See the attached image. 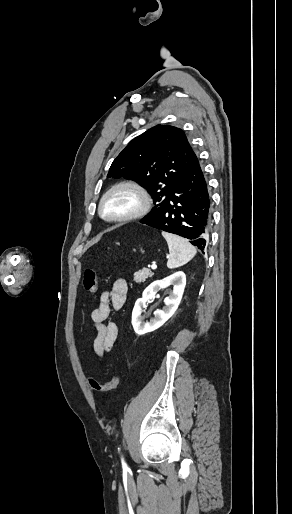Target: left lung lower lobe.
I'll use <instances>...</instances> for the list:
<instances>
[{
  "label": "left lung lower lobe",
  "mask_w": 292,
  "mask_h": 514,
  "mask_svg": "<svg viewBox=\"0 0 292 514\" xmlns=\"http://www.w3.org/2000/svg\"><path fill=\"white\" fill-rule=\"evenodd\" d=\"M142 224L189 239L200 250L208 242L211 199L199 159L193 151L190 166L173 192L160 202L156 216Z\"/></svg>",
  "instance_id": "left-lung-lower-lobe-1"
}]
</instances>
